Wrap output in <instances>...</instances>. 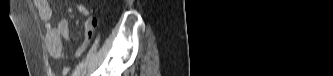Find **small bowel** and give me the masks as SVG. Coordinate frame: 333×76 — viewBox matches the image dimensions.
<instances>
[{"mask_svg":"<svg viewBox=\"0 0 333 76\" xmlns=\"http://www.w3.org/2000/svg\"><path fill=\"white\" fill-rule=\"evenodd\" d=\"M33 2L38 10L39 18L44 22L45 25V43L47 52L53 58L62 57V38L69 35V21L62 19L56 26L53 25L51 23L52 9L49 5V2L47 0H34ZM76 8L81 14L87 16L85 20L84 42L77 50V54H80L89 44L97 26L98 20L95 17L90 16L88 8L83 3L78 2L76 4Z\"/></svg>","mask_w":333,"mask_h":76,"instance_id":"c3829d8e","label":"small bowel"}]
</instances>
